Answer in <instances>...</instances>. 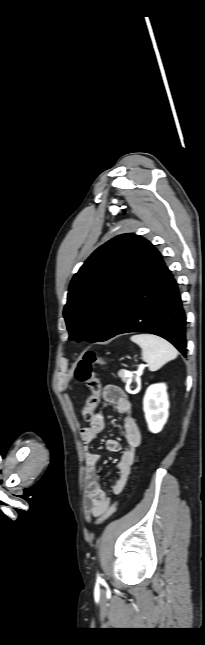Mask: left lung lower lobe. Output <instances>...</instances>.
Returning <instances> with one entry per match:
<instances>
[{"label":"left lung lower lobe","mask_w":205,"mask_h":645,"mask_svg":"<svg viewBox=\"0 0 205 645\" xmlns=\"http://www.w3.org/2000/svg\"><path fill=\"white\" fill-rule=\"evenodd\" d=\"M186 323L178 284L161 254L145 239L123 287L115 328L106 340L146 332L163 337L186 356Z\"/></svg>","instance_id":"left-lung-lower-lobe-1"}]
</instances>
